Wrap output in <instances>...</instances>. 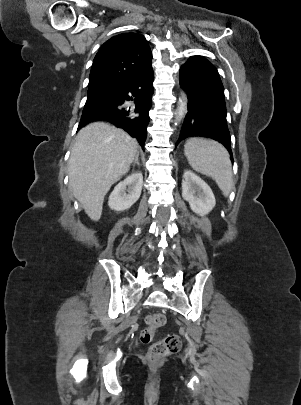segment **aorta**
I'll use <instances>...</instances> for the list:
<instances>
[{
  "mask_svg": "<svg viewBox=\"0 0 301 405\" xmlns=\"http://www.w3.org/2000/svg\"><path fill=\"white\" fill-rule=\"evenodd\" d=\"M187 113V102L184 99V93H182V98L179 99V105L176 109V122H180Z\"/></svg>",
  "mask_w": 301,
  "mask_h": 405,
  "instance_id": "aorta-1",
  "label": "aorta"
}]
</instances>
